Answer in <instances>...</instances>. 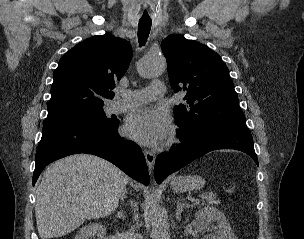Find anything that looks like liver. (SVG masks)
<instances>
[{
    "label": "liver",
    "instance_id": "6515ba94",
    "mask_svg": "<svg viewBox=\"0 0 304 239\" xmlns=\"http://www.w3.org/2000/svg\"><path fill=\"white\" fill-rule=\"evenodd\" d=\"M129 177L110 162L75 154L46 168L36 190L41 239L67 235L86 219L105 217L118 206Z\"/></svg>",
    "mask_w": 304,
    "mask_h": 239
}]
</instances>
